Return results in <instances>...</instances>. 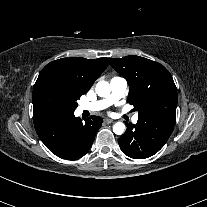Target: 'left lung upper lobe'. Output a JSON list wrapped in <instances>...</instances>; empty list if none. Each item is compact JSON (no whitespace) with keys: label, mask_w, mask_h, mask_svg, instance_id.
<instances>
[{"label":"left lung upper lobe","mask_w":207,"mask_h":207,"mask_svg":"<svg viewBox=\"0 0 207 207\" xmlns=\"http://www.w3.org/2000/svg\"><path fill=\"white\" fill-rule=\"evenodd\" d=\"M110 65L127 79L128 101L139 112V118L175 122L177 89L164 66L135 55L110 59Z\"/></svg>","instance_id":"1"}]
</instances>
